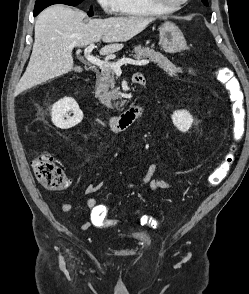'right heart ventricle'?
<instances>
[{"mask_svg":"<svg viewBox=\"0 0 249 294\" xmlns=\"http://www.w3.org/2000/svg\"><path fill=\"white\" fill-rule=\"evenodd\" d=\"M118 12L128 16H158L163 14L153 7L148 0H118Z\"/></svg>","mask_w":249,"mask_h":294,"instance_id":"1","label":"right heart ventricle"}]
</instances>
